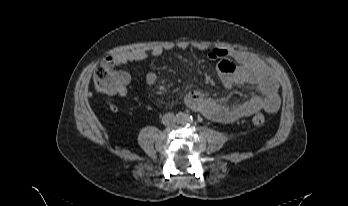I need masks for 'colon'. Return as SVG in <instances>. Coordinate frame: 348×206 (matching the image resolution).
<instances>
[{"label": "colon", "instance_id": "obj_1", "mask_svg": "<svg viewBox=\"0 0 348 206\" xmlns=\"http://www.w3.org/2000/svg\"><path fill=\"white\" fill-rule=\"evenodd\" d=\"M127 80V74L116 69L113 58H107L106 61L96 70L94 75V85L96 90L103 95H114L122 90ZM112 111L116 106L109 105ZM266 121L262 113H256L252 117V123L255 126H262Z\"/></svg>", "mask_w": 348, "mask_h": 206}]
</instances>
